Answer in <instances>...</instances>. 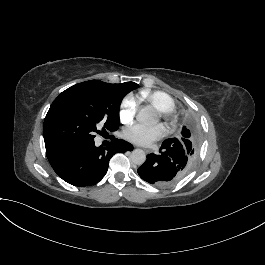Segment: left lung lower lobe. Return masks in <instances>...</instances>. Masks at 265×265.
Here are the masks:
<instances>
[{
	"instance_id": "obj_1",
	"label": "left lung lower lobe",
	"mask_w": 265,
	"mask_h": 265,
	"mask_svg": "<svg viewBox=\"0 0 265 265\" xmlns=\"http://www.w3.org/2000/svg\"><path fill=\"white\" fill-rule=\"evenodd\" d=\"M187 157L181 143L173 138L167 139L160 147V154L151 153L138 168L139 176L156 186L171 185L187 174Z\"/></svg>"
}]
</instances>
